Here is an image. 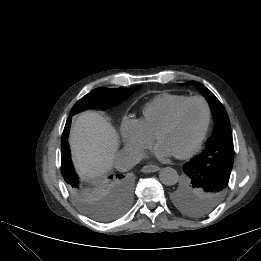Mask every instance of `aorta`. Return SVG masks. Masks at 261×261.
I'll return each mask as SVG.
<instances>
[{
  "label": "aorta",
  "instance_id": "762f6f07",
  "mask_svg": "<svg viewBox=\"0 0 261 261\" xmlns=\"http://www.w3.org/2000/svg\"><path fill=\"white\" fill-rule=\"evenodd\" d=\"M159 179L166 186L175 185L178 182L179 175L172 167L162 168L159 172Z\"/></svg>",
  "mask_w": 261,
  "mask_h": 261
}]
</instances>
